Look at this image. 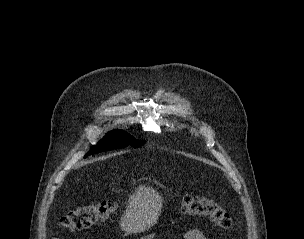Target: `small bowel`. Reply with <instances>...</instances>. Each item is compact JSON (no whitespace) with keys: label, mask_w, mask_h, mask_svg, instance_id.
Here are the masks:
<instances>
[{"label":"small bowel","mask_w":304,"mask_h":239,"mask_svg":"<svg viewBox=\"0 0 304 239\" xmlns=\"http://www.w3.org/2000/svg\"><path fill=\"white\" fill-rule=\"evenodd\" d=\"M60 239V238H54ZM183 239H210L203 231L195 228H190L184 231Z\"/></svg>","instance_id":"c3829d8e"}]
</instances>
